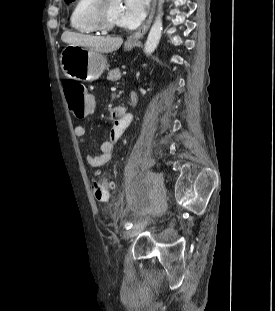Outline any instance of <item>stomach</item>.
<instances>
[{
  "label": "stomach",
  "instance_id": "stomach-1",
  "mask_svg": "<svg viewBox=\"0 0 275 311\" xmlns=\"http://www.w3.org/2000/svg\"><path fill=\"white\" fill-rule=\"evenodd\" d=\"M134 45L125 44L127 51ZM64 74L73 79L95 81L108 67L107 58L100 52L83 46L67 45L60 55Z\"/></svg>",
  "mask_w": 275,
  "mask_h": 311
}]
</instances>
